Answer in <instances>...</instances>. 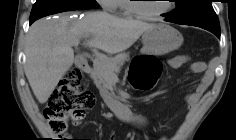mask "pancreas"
I'll return each mask as SVG.
<instances>
[{"label":"pancreas","mask_w":236,"mask_h":140,"mask_svg":"<svg viewBox=\"0 0 236 140\" xmlns=\"http://www.w3.org/2000/svg\"><path fill=\"white\" fill-rule=\"evenodd\" d=\"M128 57L127 54H121L114 58H104L94 61L91 77L101 91L108 93V95H114L111 78L119 73Z\"/></svg>","instance_id":"1"}]
</instances>
